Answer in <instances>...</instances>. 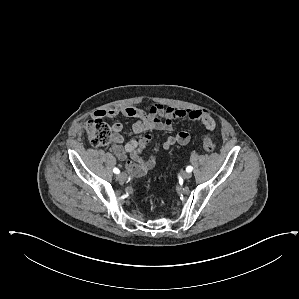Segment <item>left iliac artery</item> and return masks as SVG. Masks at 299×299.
<instances>
[{
  "instance_id": "left-iliac-artery-1",
  "label": "left iliac artery",
  "mask_w": 299,
  "mask_h": 299,
  "mask_svg": "<svg viewBox=\"0 0 299 299\" xmlns=\"http://www.w3.org/2000/svg\"><path fill=\"white\" fill-rule=\"evenodd\" d=\"M192 170H193L192 166H188V167L186 168V171H187V172H191Z\"/></svg>"
}]
</instances>
